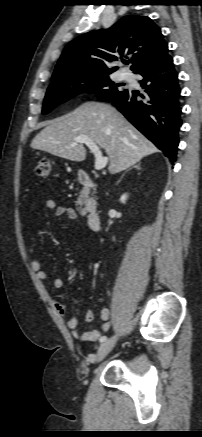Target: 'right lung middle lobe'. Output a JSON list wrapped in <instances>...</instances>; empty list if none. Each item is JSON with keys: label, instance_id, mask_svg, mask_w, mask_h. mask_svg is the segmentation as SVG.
Segmentation results:
<instances>
[{"label": "right lung middle lobe", "instance_id": "right-lung-middle-lobe-1", "mask_svg": "<svg viewBox=\"0 0 202 437\" xmlns=\"http://www.w3.org/2000/svg\"><path fill=\"white\" fill-rule=\"evenodd\" d=\"M119 86L121 84L111 81L108 74L75 77L54 82L47 90L42 113L47 114L58 105L84 92L96 93L100 100L107 101L125 90L120 89Z\"/></svg>", "mask_w": 202, "mask_h": 437}]
</instances>
